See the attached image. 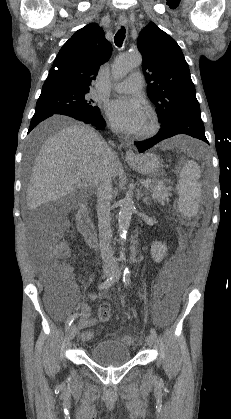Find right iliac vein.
Listing matches in <instances>:
<instances>
[{
    "mask_svg": "<svg viewBox=\"0 0 231 419\" xmlns=\"http://www.w3.org/2000/svg\"><path fill=\"white\" fill-rule=\"evenodd\" d=\"M112 273H113V271L111 269H105L104 270V275L105 276H110ZM76 333H77V327H76L75 324H73L70 327L69 332H68L69 339L72 340L76 336Z\"/></svg>",
    "mask_w": 231,
    "mask_h": 419,
    "instance_id": "1",
    "label": "right iliac vein"
}]
</instances>
